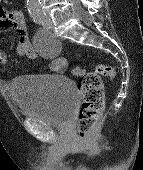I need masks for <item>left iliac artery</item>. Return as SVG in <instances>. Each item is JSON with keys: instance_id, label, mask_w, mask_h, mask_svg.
Instances as JSON below:
<instances>
[{"instance_id": "left-iliac-artery-1", "label": "left iliac artery", "mask_w": 143, "mask_h": 170, "mask_svg": "<svg viewBox=\"0 0 143 170\" xmlns=\"http://www.w3.org/2000/svg\"><path fill=\"white\" fill-rule=\"evenodd\" d=\"M36 21L38 23H40L42 26H44L45 28H47V26H48V24H47V17L45 15L37 18Z\"/></svg>"}]
</instances>
